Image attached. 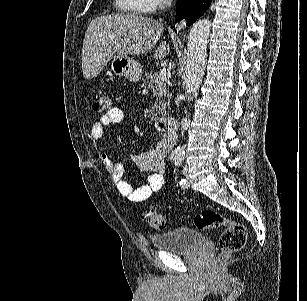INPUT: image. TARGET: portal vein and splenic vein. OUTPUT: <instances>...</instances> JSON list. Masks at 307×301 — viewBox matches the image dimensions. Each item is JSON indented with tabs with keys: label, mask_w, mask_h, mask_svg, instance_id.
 I'll list each match as a JSON object with an SVG mask.
<instances>
[{
	"label": "portal vein and splenic vein",
	"mask_w": 307,
	"mask_h": 301,
	"mask_svg": "<svg viewBox=\"0 0 307 301\" xmlns=\"http://www.w3.org/2000/svg\"><path fill=\"white\" fill-rule=\"evenodd\" d=\"M170 76L171 72L168 68H161L157 80H169Z\"/></svg>",
	"instance_id": "18ae733b"
}]
</instances>
